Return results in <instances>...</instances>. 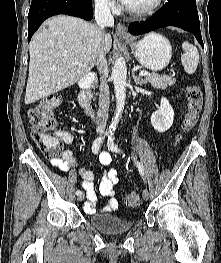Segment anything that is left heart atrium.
<instances>
[{"label":"left heart atrium","mask_w":221,"mask_h":263,"mask_svg":"<svg viewBox=\"0 0 221 263\" xmlns=\"http://www.w3.org/2000/svg\"><path fill=\"white\" fill-rule=\"evenodd\" d=\"M121 1L127 4L129 0H121Z\"/></svg>","instance_id":"obj_1"}]
</instances>
